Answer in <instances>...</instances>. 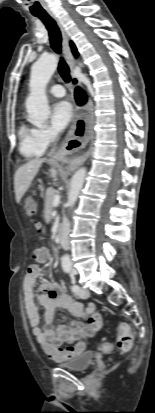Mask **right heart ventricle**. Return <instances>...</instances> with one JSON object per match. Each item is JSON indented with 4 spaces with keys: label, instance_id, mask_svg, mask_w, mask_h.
I'll use <instances>...</instances> for the list:
<instances>
[{
    "label": "right heart ventricle",
    "instance_id": "1",
    "mask_svg": "<svg viewBox=\"0 0 155 413\" xmlns=\"http://www.w3.org/2000/svg\"><path fill=\"white\" fill-rule=\"evenodd\" d=\"M19 151L27 159H34L42 156L44 150L37 142L35 129L22 124L18 130Z\"/></svg>",
    "mask_w": 155,
    "mask_h": 413
}]
</instances>
